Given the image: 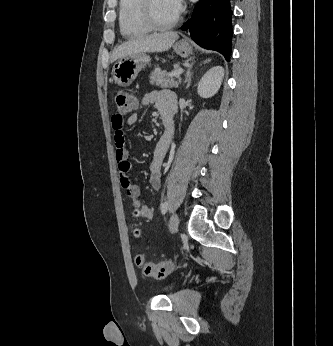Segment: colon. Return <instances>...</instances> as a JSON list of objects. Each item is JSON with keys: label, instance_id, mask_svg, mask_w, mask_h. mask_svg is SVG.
Listing matches in <instances>:
<instances>
[{"label": "colon", "instance_id": "1", "mask_svg": "<svg viewBox=\"0 0 333 346\" xmlns=\"http://www.w3.org/2000/svg\"><path fill=\"white\" fill-rule=\"evenodd\" d=\"M115 105L117 113L115 115L124 120V116L128 115L136 105L135 98L128 92L119 91L115 94ZM139 234L138 231L135 232ZM136 263L141 267L145 276L160 279L166 277L173 270V265L169 261L159 263L146 262L144 257L138 255Z\"/></svg>", "mask_w": 333, "mask_h": 346}]
</instances>
